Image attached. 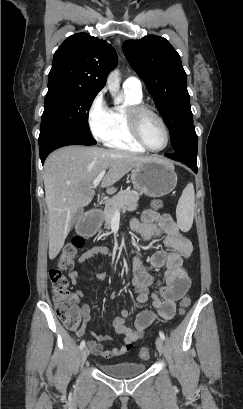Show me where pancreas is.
Instances as JSON below:
<instances>
[{
    "instance_id": "1",
    "label": "pancreas",
    "mask_w": 243,
    "mask_h": 409,
    "mask_svg": "<svg viewBox=\"0 0 243 409\" xmlns=\"http://www.w3.org/2000/svg\"><path fill=\"white\" fill-rule=\"evenodd\" d=\"M139 195L135 192L122 190L111 198L106 204L103 212L105 228H110V222L117 211H135L138 206Z\"/></svg>"
}]
</instances>
